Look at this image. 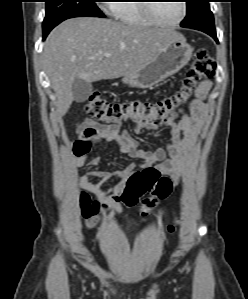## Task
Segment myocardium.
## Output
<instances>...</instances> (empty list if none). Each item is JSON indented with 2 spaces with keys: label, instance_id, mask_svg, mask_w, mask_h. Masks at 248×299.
<instances>
[{
  "label": "myocardium",
  "instance_id": "f54148a6",
  "mask_svg": "<svg viewBox=\"0 0 248 299\" xmlns=\"http://www.w3.org/2000/svg\"><path fill=\"white\" fill-rule=\"evenodd\" d=\"M181 1V7H182V13L179 19L175 22L172 23H167L163 22L162 20L159 19V17L155 14L154 12V6L156 3H145L143 4L144 11L147 15V17L156 25L162 26V27H176L180 25L184 19L186 18L187 15V4L186 1L180 0ZM147 2H153V1H147Z\"/></svg>",
  "mask_w": 248,
  "mask_h": 299
}]
</instances>
